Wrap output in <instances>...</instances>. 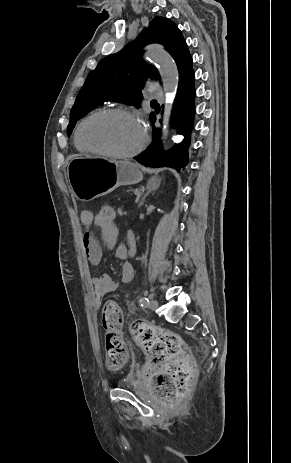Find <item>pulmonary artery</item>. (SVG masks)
<instances>
[{
    "mask_svg": "<svg viewBox=\"0 0 291 463\" xmlns=\"http://www.w3.org/2000/svg\"><path fill=\"white\" fill-rule=\"evenodd\" d=\"M149 95L152 98H160L162 96V90L158 87V85L154 82L149 83Z\"/></svg>",
    "mask_w": 291,
    "mask_h": 463,
    "instance_id": "pulmonary-artery-1",
    "label": "pulmonary artery"
}]
</instances>
